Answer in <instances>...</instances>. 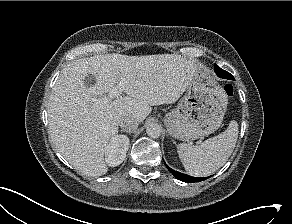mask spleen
I'll return each instance as SVG.
<instances>
[{"label": "spleen", "instance_id": "1", "mask_svg": "<svg viewBox=\"0 0 292 224\" xmlns=\"http://www.w3.org/2000/svg\"><path fill=\"white\" fill-rule=\"evenodd\" d=\"M238 132V123L231 121L224 132L200 145L179 144L177 152L187 173L205 177L220 169L235 148Z\"/></svg>", "mask_w": 292, "mask_h": 224}]
</instances>
